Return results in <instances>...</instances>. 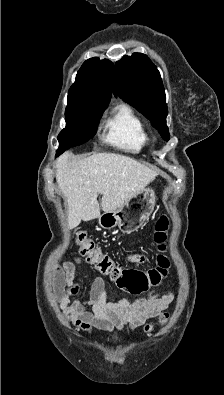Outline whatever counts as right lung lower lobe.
<instances>
[{"instance_id": "98d812e1", "label": "right lung lower lobe", "mask_w": 224, "mask_h": 395, "mask_svg": "<svg viewBox=\"0 0 224 395\" xmlns=\"http://www.w3.org/2000/svg\"><path fill=\"white\" fill-rule=\"evenodd\" d=\"M64 151H65V149H60V148H58V150H57V156L60 155V154H62Z\"/></svg>"}]
</instances>
